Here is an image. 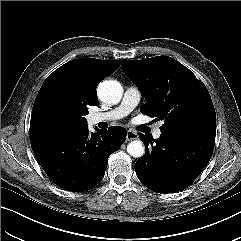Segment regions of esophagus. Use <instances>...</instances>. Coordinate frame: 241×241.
<instances>
[{
    "mask_svg": "<svg viewBox=\"0 0 241 241\" xmlns=\"http://www.w3.org/2000/svg\"><path fill=\"white\" fill-rule=\"evenodd\" d=\"M138 137L139 136H138V134L135 131H133V130H128L127 131L126 139L128 141L136 140V139H138Z\"/></svg>",
    "mask_w": 241,
    "mask_h": 241,
    "instance_id": "esophagus-1",
    "label": "esophagus"
}]
</instances>
